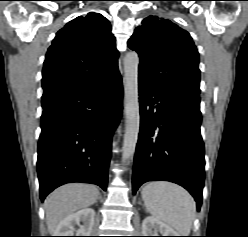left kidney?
I'll list each match as a JSON object with an SVG mask.
<instances>
[{"mask_svg":"<svg viewBox=\"0 0 248 237\" xmlns=\"http://www.w3.org/2000/svg\"><path fill=\"white\" fill-rule=\"evenodd\" d=\"M143 236H179L170 226L160 221L159 219L148 216L142 222Z\"/></svg>","mask_w":248,"mask_h":237,"instance_id":"left-kidney-1","label":"left kidney"}]
</instances>
